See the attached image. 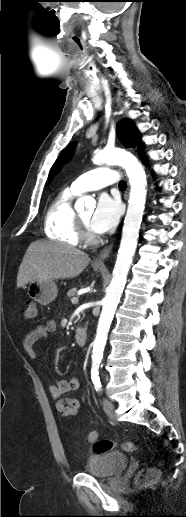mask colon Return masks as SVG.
<instances>
[{"mask_svg":"<svg viewBox=\"0 0 186 517\" xmlns=\"http://www.w3.org/2000/svg\"><path fill=\"white\" fill-rule=\"evenodd\" d=\"M39 317L38 305L35 301L30 300L25 303L23 318L25 320H36ZM89 443H92L93 450L96 454H104L113 449H121L127 452H132L136 449V445L133 442H114L110 440H97L94 433L91 431L88 433ZM160 478V472L157 468H148L141 471L138 474L137 481L141 485H152L155 484Z\"/></svg>","mask_w":186,"mask_h":517,"instance_id":"colon-1","label":"colon"}]
</instances>
